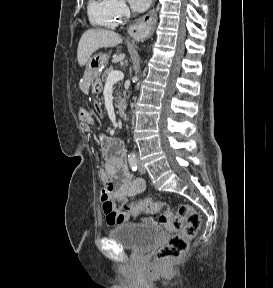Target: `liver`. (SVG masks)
<instances>
[{"label":"liver","instance_id":"obj_1","mask_svg":"<svg viewBox=\"0 0 273 288\" xmlns=\"http://www.w3.org/2000/svg\"><path fill=\"white\" fill-rule=\"evenodd\" d=\"M122 43L121 36L111 30L89 29L81 36L78 49L77 60L80 66L87 64L91 55L100 48L115 47ZM124 55H118L112 62L117 63L124 59Z\"/></svg>","mask_w":273,"mask_h":288}]
</instances>
